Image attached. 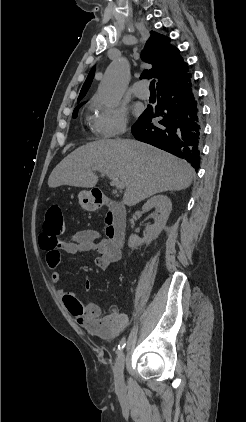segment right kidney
Masks as SVG:
<instances>
[{
  "mask_svg": "<svg viewBox=\"0 0 246 422\" xmlns=\"http://www.w3.org/2000/svg\"><path fill=\"white\" fill-rule=\"evenodd\" d=\"M152 208H155L159 212V215L155 218L153 225L146 227L143 239H140L134 234L129 237L128 246L131 249H135L144 243L149 245L153 240L158 238L161 231L165 228L172 209L171 200L165 195L153 196L143 205L142 211L148 212Z\"/></svg>",
  "mask_w": 246,
  "mask_h": 422,
  "instance_id": "right-kidney-1",
  "label": "right kidney"
}]
</instances>
